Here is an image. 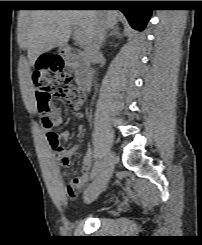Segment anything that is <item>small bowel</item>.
Here are the masks:
<instances>
[{"label": "small bowel", "instance_id": "obj_1", "mask_svg": "<svg viewBox=\"0 0 202 245\" xmlns=\"http://www.w3.org/2000/svg\"><path fill=\"white\" fill-rule=\"evenodd\" d=\"M81 102L85 101L84 97H80ZM53 122L50 126H44L47 140L49 139V135L52 132H55L54 129L59 127L62 124V116L58 108L52 109ZM56 133V132H55ZM57 134V133H56ZM59 140H69L71 134L68 131H64L61 134H57ZM77 147H73L71 149H64L55 153V163L57 167L60 169H66L70 165V160L72 156L75 154ZM96 174L95 168H93L92 163V150L88 146L85 155L83 156V172L75 177L72 180H69L70 173L67 170H62L60 172V176L64 181H67L65 185V192L69 197H74L77 193L87 184L89 179L93 178ZM70 187H73V190H70Z\"/></svg>", "mask_w": 202, "mask_h": 245}]
</instances>
